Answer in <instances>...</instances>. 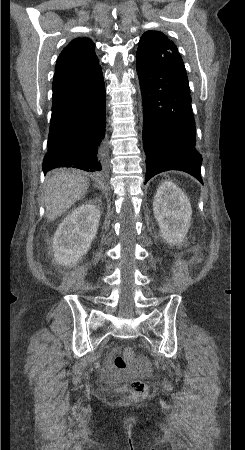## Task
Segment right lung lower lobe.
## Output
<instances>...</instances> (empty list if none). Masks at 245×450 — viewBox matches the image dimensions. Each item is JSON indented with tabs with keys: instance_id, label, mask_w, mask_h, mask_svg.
Here are the masks:
<instances>
[{
	"instance_id": "obj_1",
	"label": "right lung lower lobe",
	"mask_w": 245,
	"mask_h": 450,
	"mask_svg": "<svg viewBox=\"0 0 245 450\" xmlns=\"http://www.w3.org/2000/svg\"><path fill=\"white\" fill-rule=\"evenodd\" d=\"M105 87L99 66L53 97L44 173L59 167L101 176L106 170Z\"/></svg>"
}]
</instances>
